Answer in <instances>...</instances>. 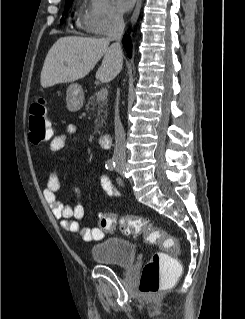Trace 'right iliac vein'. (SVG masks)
I'll list each match as a JSON object with an SVG mask.
<instances>
[{
	"instance_id": "obj_1",
	"label": "right iliac vein",
	"mask_w": 245,
	"mask_h": 319,
	"mask_svg": "<svg viewBox=\"0 0 245 319\" xmlns=\"http://www.w3.org/2000/svg\"><path fill=\"white\" fill-rule=\"evenodd\" d=\"M124 167H125V165H124L123 163H120V164H118L117 169H118L119 171H123Z\"/></svg>"
}]
</instances>
